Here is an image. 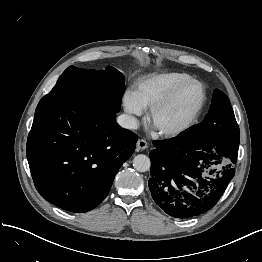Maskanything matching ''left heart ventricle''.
I'll return each mask as SVG.
<instances>
[{
  "label": "left heart ventricle",
  "instance_id": "b2bd125f",
  "mask_svg": "<svg viewBox=\"0 0 262 262\" xmlns=\"http://www.w3.org/2000/svg\"><path fill=\"white\" fill-rule=\"evenodd\" d=\"M201 98L202 88L198 84L187 85L167 107L156 115L153 127L161 130L181 126L194 114Z\"/></svg>",
  "mask_w": 262,
  "mask_h": 262
}]
</instances>
